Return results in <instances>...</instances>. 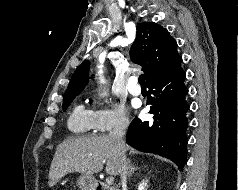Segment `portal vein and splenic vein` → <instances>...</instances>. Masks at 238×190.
<instances>
[{
    "mask_svg": "<svg viewBox=\"0 0 238 190\" xmlns=\"http://www.w3.org/2000/svg\"><path fill=\"white\" fill-rule=\"evenodd\" d=\"M114 178L111 176L107 179V183L108 184H111L113 182Z\"/></svg>",
    "mask_w": 238,
    "mask_h": 190,
    "instance_id": "obj_1",
    "label": "portal vein and splenic vein"
}]
</instances>
